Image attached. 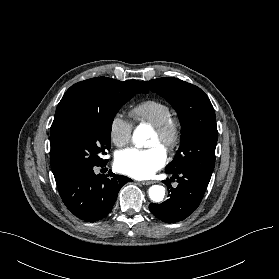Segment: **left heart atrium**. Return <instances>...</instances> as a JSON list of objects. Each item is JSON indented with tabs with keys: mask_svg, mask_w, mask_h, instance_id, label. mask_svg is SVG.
I'll return each mask as SVG.
<instances>
[{
	"mask_svg": "<svg viewBox=\"0 0 279 279\" xmlns=\"http://www.w3.org/2000/svg\"><path fill=\"white\" fill-rule=\"evenodd\" d=\"M166 160V151L160 145L149 148L131 147L117 153L115 167L130 177L146 179L162 168Z\"/></svg>",
	"mask_w": 279,
	"mask_h": 279,
	"instance_id": "left-heart-atrium-1",
	"label": "left heart atrium"
}]
</instances>
